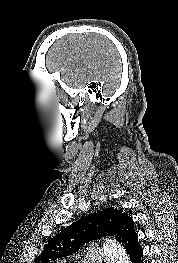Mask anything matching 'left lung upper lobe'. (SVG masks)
<instances>
[{"label":"left lung upper lobe","instance_id":"5c2ea615","mask_svg":"<svg viewBox=\"0 0 178 263\" xmlns=\"http://www.w3.org/2000/svg\"><path fill=\"white\" fill-rule=\"evenodd\" d=\"M130 218L122 210L106 208L98 214L82 217L53 237L37 257L35 263H48L72 255L85 243L103 236H114L118 241Z\"/></svg>","mask_w":178,"mask_h":263}]
</instances>
